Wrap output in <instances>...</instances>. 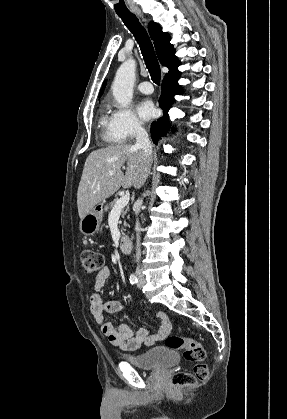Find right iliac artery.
<instances>
[{"label":"right iliac artery","instance_id":"82829eb1","mask_svg":"<svg viewBox=\"0 0 287 419\" xmlns=\"http://www.w3.org/2000/svg\"><path fill=\"white\" fill-rule=\"evenodd\" d=\"M129 281H130L131 284H136L138 282V278H137L136 274H134V273L131 274L130 277H129Z\"/></svg>","mask_w":287,"mask_h":419}]
</instances>
